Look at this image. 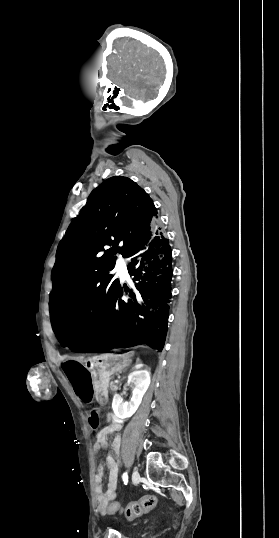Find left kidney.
Wrapping results in <instances>:
<instances>
[{
  "mask_svg": "<svg viewBox=\"0 0 279 538\" xmlns=\"http://www.w3.org/2000/svg\"><path fill=\"white\" fill-rule=\"evenodd\" d=\"M128 382L134 386L130 402H123V398L119 394H115L112 402L113 412L121 420L131 418L136 410H138L142 398L150 386V372L136 368V372L129 374Z\"/></svg>",
  "mask_w": 279,
  "mask_h": 538,
  "instance_id": "1",
  "label": "left kidney"
}]
</instances>
